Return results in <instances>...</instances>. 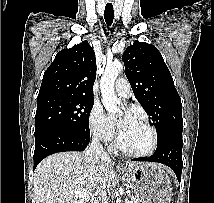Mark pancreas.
I'll return each mask as SVG.
<instances>
[{
	"label": "pancreas",
	"mask_w": 214,
	"mask_h": 203,
	"mask_svg": "<svg viewBox=\"0 0 214 203\" xmlns=\"http://www.w3.org/2000/svg\"><path fill=\"white\" fill-rule=\"evenodd\" d=\"M128 203H138L137 198L130 196V200L128 201Z\"/></svg>",
	"instance_id": "obj_1"
}]
</instances>
